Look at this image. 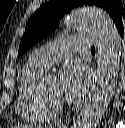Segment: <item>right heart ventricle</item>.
Returning a JSON list of instances; mask_svg holds the SVG:
<instances>
[{"label": "right heart ventricle", "instance_id": "right-heart-ventricle-1", "mask_svg": "<svg viewBox=\"0 0 125 128\" xmlns=\"http://www.w3.org/2000/svg\"><path fill=\"white\" fill-rule=\"evenodd\" d=\"M44 70L29 60L18 82L17 111L22 119L37 124L46 123L53 117L43 106L38 94L39 79Z\"/></svg>", "mask_w": 125, "mask_h": 128}]
</instances>
